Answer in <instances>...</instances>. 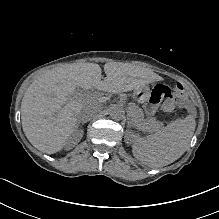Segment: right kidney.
I'll use <instances>...</instances> for the list:
<instances>
[{"label":"right kidney","instance_id":"1","mask_svg":"<svg viewBox=\"0 0 219 219\" xmlns=\"http://www.w3.org/2000/svg\"><path fill=\"white\" fill-rule=\"evenodd\" d=\"M83 137V131H82V133L77 137V139L79 140V139H81ZM75 138V137H74ZM77 142H79V141H77ZM65 147H66V145H64Z\"/></svg>","mask_w":219,"mask_h":219}]
</instances>
